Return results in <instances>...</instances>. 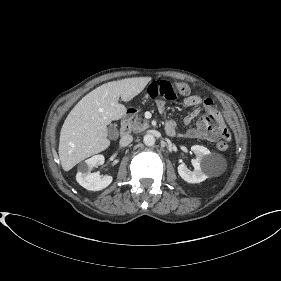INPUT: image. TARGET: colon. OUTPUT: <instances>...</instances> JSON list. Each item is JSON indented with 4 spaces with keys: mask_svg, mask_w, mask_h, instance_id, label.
<instances>
[{
    "mask_svg": "<svg viewBox=\"0 0 281 281\" xmlns=\"http://www.w3.org/2000/svg\"><path fill=\"white\" fill-rule=\"evenodd\" d=\"M189 87L183 82H168L155 81L150 84L148 88V95L151 98H165L167 100H176L181 95H187ZM230 140V133L227 129L223 130V140L217 143V148L226 150L228 148V141Z\"/></svg>",
    "mask_w": 281,
    "mask_h": 281,
    "instance_id": "colon-1",
    "label": "colon"
}]
</instances>
